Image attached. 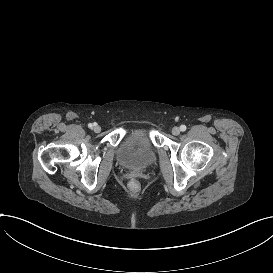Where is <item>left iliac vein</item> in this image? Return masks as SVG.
<instances>
[{
  "label": "left iliac vein",
  "mask_w": 273,
  "mask_h": 273,
  "mask_svg": "<svg viewBox=\"0 0 273 273\" xmlns=\"http://www.w3.org/2000/svg\"><path fill=\"white\" fill-rule=\"evenodd\" d=\"M180 128L179 127H173L172 128V134L173 135H175V136H177V135H179L180 134Z\"/></svg>",
  "instance_id": "1"
}]
</instances>
